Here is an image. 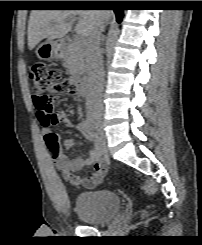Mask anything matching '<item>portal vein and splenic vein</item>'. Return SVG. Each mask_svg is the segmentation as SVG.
Listing matches in <instances>:
<instances>
[{"mask_svg": "<svg viewBox=\"0 0 202 245\" xmlns=\"http://www.w3.org/2000/svg\"><path fill=\"white\" fill-rule=\"evenodd\" d=\"M84 42H85L84 38L80 34L77 33V36L74 39V43L76 45H83Z\"/></svg>", "mask_w": 202, "mask_h": 245, "instance_id": "portal-vein-and-splenic-vein-1", "label": "portal vein and splenic vein"}]
</instances>
